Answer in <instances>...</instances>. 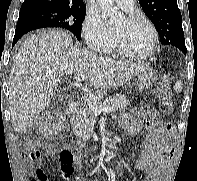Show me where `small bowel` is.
Instances as JSON below:
<instances>
[{
  "label": "small bowel",
  "instance_id": "small-bowel-1",
  "mask_svg": "<svg viewBox=\"0 0 197 181\" xmlns=\"http://www.w3.org/2000/svg\"><path fill=\"white\" fill-rule=\"evenodd\" d=\"M120 124L130 136L136 135L141 130H147L136 163L137 169L145 173L142 181H166V163L170 158L174 139L171 128L162 122L157 111L147 104L138 106L131 115H123ZM45 148L50 154L56 152L54 144L45 145ZM33 153L39 152L29 153L32 161H34ZM74 161L79 162V159Z\"/></svg>",
  "mask_w": 197,
  "mask_h": 181
}]
</instances>
